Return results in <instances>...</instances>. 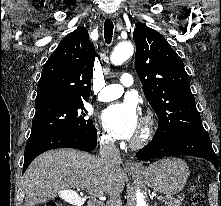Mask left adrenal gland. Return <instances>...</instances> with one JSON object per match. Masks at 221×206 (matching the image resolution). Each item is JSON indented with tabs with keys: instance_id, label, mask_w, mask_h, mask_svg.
<instances>
[{
	"instance_id": "obj_1",
	"label": "left adrenal gland",
	"mask_w": 221,
	"mask_h": 206,
	"mask_svg": "<svg viewBox=\"0 0 221 206\" xmlns=\"http://www.w3.org/2000/svg\"><path fill=\"white\" fill-rule=\"evenodd\" d=\"M154 206H157V203H156V202L154 203Z\"/></svg>"
}]
</instances>
